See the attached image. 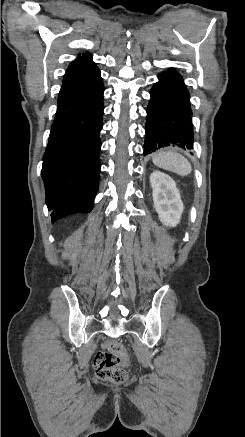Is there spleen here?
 <instances>
[{
  "label": "spleen",
  "mask_w": 245,
  "mask_h": 437,
  "mask_svg": "<svg viewBox=\"0 0 245 437\" xmlns=\"http://www.w3.org/2000/svg\"><path fill=\"white\" fill-rule=\"evenodd\" d=\"M152 161L156 166L181 176H186L192 171L190 162L173 150L158 151L153 155Z\"/></svg>",
  "instance_id": "spleen-1"
}]
</instances>
